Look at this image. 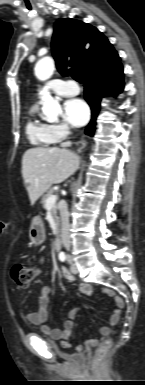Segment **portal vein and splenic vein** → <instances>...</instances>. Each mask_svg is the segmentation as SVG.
Wrapping results in <instances>:
<instances>
[{
    "label": "portal vein and splenic vein",
    "mask_w": 145,
    "mask_h": 385,
    "mask_svg": "<svg viewBox=\"0 0 145 385\" xmlns=\"http://www.w3.org/2000/svg\"><path fill=\"white\" fill-rule=\"evenodd\" d=\"M56 200H57V196L51 195L46 201V207H52L55 204Z\"/></svg>",
    "instance_id": "18ae733b"
}]
</instances>
